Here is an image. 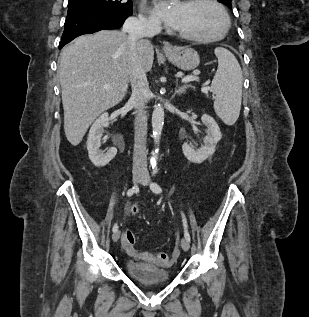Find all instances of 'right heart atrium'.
<instances>
[{"mask_svg":"<svg viewBox=\"0 0 309 317\" xmlns=\"http://www.w3.org/2000/svg\"><path fill=\"white\" fill-rule=\"evenodd\" d=\"M139 25L146 30H156L159 28V22L154 17H148L140 14L138 17Z\"/></svg>","mask_w":309,"mask_h":317,"instance_id":"right-heart-atrium-1","label":"right heart atrium"}]
</instances>
